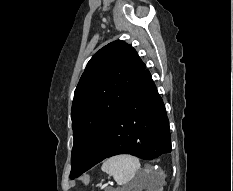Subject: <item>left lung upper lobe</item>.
<instances>
[{"mask_svg": "<svg viewBox=\"0 0 233 191\" xmlns=\"http://www.w3.org/2000/svg\"><path fill=\"white\" fill-rule=\"evenodd\" d=\"M145 68L137 52L121 40L104 46L90 59L72 104L70 178L81 173Z\"/></svg>", "mask_w": 233, "mask_h": 191, "instance_id": "left-lung-upper-lobe-1", "label": "left lung upper lobe"}]
</instances>
